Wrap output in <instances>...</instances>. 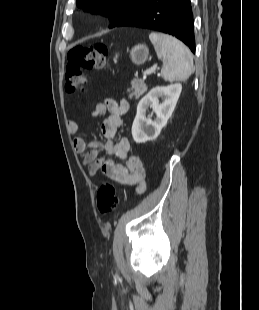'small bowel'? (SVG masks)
Wrapping results in <instances>:
<instances>
[{
    "label": "small bowel",
    "mask_w": 259,
    "mask_h": 310,
    "mask_svg": "<svg viewBox=\"0 0 259 310\" xmlns=\"http://www.w3.org/2000/svg\"><path fill=\"white\" fill-rule=\"evenodd\" d=\"M129 107L125 99L120 101L107 99L98 103L91 116L103 117L101 123L103 139L87 143L82 137H76L74 148L81 155V163L87 167L90 177H95L101 172L116 183L134 186L136 193L142 194L147 186L142 160L136 155H129L131 144L127 138L115 141L123 116L128 112ZM67 130L70 134H76L79 130L78 122L69 120ZM114 157L123 160V163H116Z\"/></svg>",
    "instance_id": "obj_1"
}]
</instances>
